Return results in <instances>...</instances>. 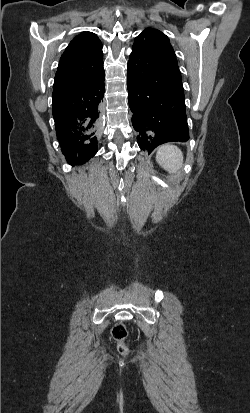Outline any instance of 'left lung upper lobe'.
<instances>
[{"label": "left lung upper lobe", "instance_id": "1", "mask_svg": "<svg viewBox=\"0 0 250 413\" xmlns=\"http://www.w3.org/2000/svg\"><path fill=\"white\" fill-rule=\"evenodd\" d=\"M153 37L156 39H159L163 44H165L167 47H169L171 50L173 48L169 44V39L166 35H164L162 32L154 29H146L144 30L140 35H138L135 40H134V45L139 44L143 41V39L148 38V37Z\"/></svg>", "mask_w": 250, "mask_h": 413}]
</instances>
